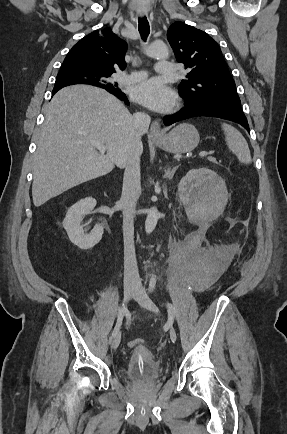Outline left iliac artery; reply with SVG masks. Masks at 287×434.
<instances>
[{"label":"left iliac artery","instance_id":"left-iliac-artery-1","mask_svg":"<svg viewBox=\"0 0 287 434\" xmlns=\"http://www.w3.org/2000/svg\"><path fill=\"white\" fill-rule=\"evenodd\" d=\"M155 285H156V276L153 275L151 277L150 284H149L150 289L152 291L155 289ZM166 307H167V310H168V316L170 318L176 317V310H175L174 306L171 303H166Z\"/></svg>","mask_w":287,"mask_h":434}]
</instances>
